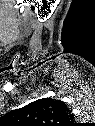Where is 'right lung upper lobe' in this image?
Here are the masks:
<instances>
[{
    "label": "right lung upper lobe",
    "instance_id": "right-lung-upper-lobe-1",
    "mask_svg": "<svg viewBox=\"0 0 95 126\" xmlns=\"http://www.w3.org/2000/svg\"><path fill=\"white\" fill-rule=\"evenodd\" d=\"M6 118L16 126H73L74 116L67 105L57 99L42 98L13 110Z\"/></svg>",
    "mask_w": 95,
    "mask_h": 126
}]
</instances>
